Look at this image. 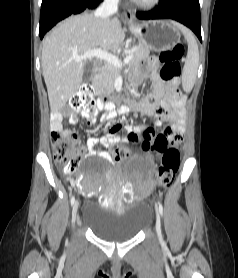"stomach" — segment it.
I'll list each match as a JSON object with an SVG mask.
<instances>
[{"label":"stomach","instance_id":"stomach-1","mask_svg":"<svg viewBox=\"0 0 238 278\" xmlns=\"http://www.w3.org/2000/svg\"><path fill=\"white\" fill-rule=\"evenodd\" d=\"M130 30L142 45L156 51L171 49L180 41L179 30L169 21L150 20L132 23Z\"/></svg>","mask_w":238,"mask_h":278}]
</instances>
